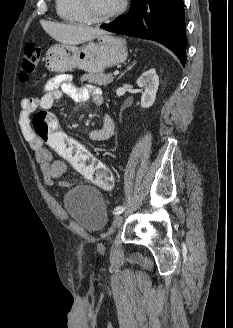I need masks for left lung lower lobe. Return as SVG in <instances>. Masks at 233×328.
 Wrapping results in <instances>:
<instances>
[{"instance_id":"0a47b994","label":"left lung lower lobe","mask_w":233,"mask_h":328,"mask_svg":"<svg viewBox=\"0 0 233 328\" xmlns=\"http://www.w3.org/2000/svg\"><path fill=\"white\" fill-rule=\"evenodd\" d=\"M183 0H133L128 13L100 27L159 42L169 48L184 65L186 28Z\"/></svg>"}]
</instances>
